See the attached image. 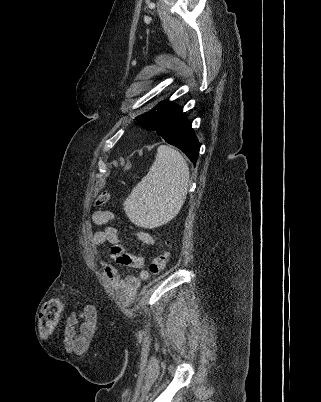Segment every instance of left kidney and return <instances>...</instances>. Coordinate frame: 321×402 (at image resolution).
I'll use <instances>...</instances> for the list:
<instances>
[{
  "instance_id": "1",
  "label": "left kidney",
  "mask_w": 321,
  "mask_h": 402,
  "mask_svg": "<svg viewBox=\"0 0 321 402\" xmlns=\"http://www.w3.org/2000/svg\"><path fill=\"white\" fill-rule=\"evenodd\" d=\"M172 218H173V217H172ZM172 218H171V219H172ZM171 219H168L165 223H167V222L170 221Z\"/></svg>"
}]
</instances>
